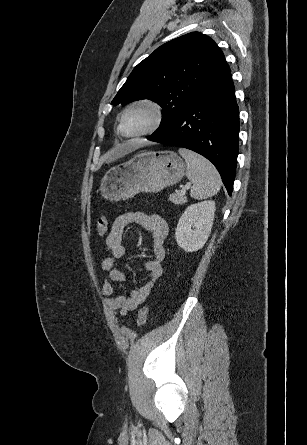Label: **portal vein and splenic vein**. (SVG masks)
<instances>
[{"label":"portal vein and splenic vein","instance_id":"1","mask_svg":"<svg viewBox=\"0 0 307 445\" xmlns=\"http://www.w3.org/2000/svg\"><path fill=\"white\" fill-rule=\"evenodd\" d=\"M190 186H191V182H187V184H184V186H182L181 192H186V190H188V188H190Z\"/></svg>","mask_w":307,"mask_h":445}]
</instances>
